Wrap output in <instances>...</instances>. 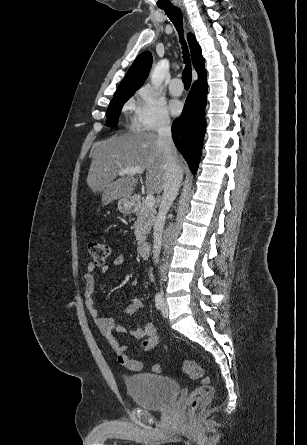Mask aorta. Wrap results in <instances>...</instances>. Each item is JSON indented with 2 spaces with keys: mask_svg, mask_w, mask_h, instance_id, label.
I'll return each instance as SVG.
<instances>
[{
  "mask_svg": "<svg viewBox=\"0 0 307 445\" xmlns=\"http://www.w3.org/2000/svg\"><path fill=\"white\" fill-rule=\"evenodd\" d=\"M169 68L170 62L168 58L159 60L151 72V84H154V86H161Z\"/></svg>",
  "mask_w": 307,
  "mask_h": 445,
  "instance_id": "762f6f07",
  "label": "aorta"
}]
</instances>
